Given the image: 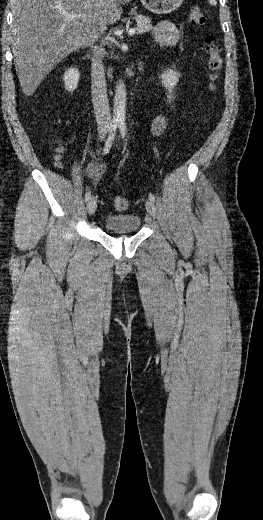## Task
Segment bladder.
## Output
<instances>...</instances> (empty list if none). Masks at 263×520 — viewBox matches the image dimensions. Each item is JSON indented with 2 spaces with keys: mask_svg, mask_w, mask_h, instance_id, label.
I'll return each instance as SVG.
<instances>
[{
  "mask_svg": "<svg viewBox=\"0 0 263 520\" xmlns=\"http://www.w3.org/2000/svg\"><path fill=\"white\" fill-rule=\"evenodd\" d=\"M103 226L112 234L135 233L141 228V218L136 213L110 214L105 217Z\"/></svg>",
  "mask_w": 263,
  "mask_h": 520,
  "instance_id": "31cf9c89",
  "label": "bladder"
}]
</instances>
